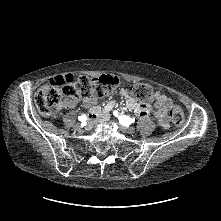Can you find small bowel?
I'll use <instances>...</instances> for the list:
<instances>
[{
    "mask_svg": "<svg viewBox=\"0 0 221 221\" xmlns=\"http://www.w3.org/2000/svg\"><path fill=\"white\" fill-rule=\"evenodd\" d=\"M77 76L74 72H63L61 74L54 73L50 76L49 81L52 85L58 86L60 84L69 85L76 81ZM121 96L125 99V106L129 111L134 112L140 119L148 117L150 106L145 103L137 102L132 96L129 95L126 89L120 90ZM173 101L163 95L160 91L155 92V106L153 114L158 124L163 128L169 127V104ZM77 104V101H69L65 104L66 107L71 108ZM83 105L89 108L90 120H107L109 112L114 109L116 103L109 101L104 108L97 105L96 97H88L83 100Z\"/></svg>",
    "mask_w": 221,
    "mask_h": 221,
    "instance_id": "small-bowel-1",
    "label": "small bowel"
}]
</instances>
